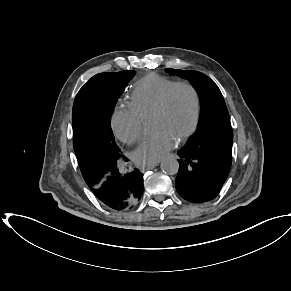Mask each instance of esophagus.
<instances>
[{
    "instance_id": "obj_1",
    "label": "esophagus",
    "mask_w": 291,
    "mask_h": 291,
    "mask_svg": "<svg viewBox=\"0 0 291 291\" xmlns=\"http://www.w3.org/2000/svg\"><path fill=\"white\" fill-rule=\"evenodd\" d=\"M158 164H159V162H156V163H150V164H145V165L143 166V169H144V170H151V169H153L154 167H156Z\"/></svg>"
}]
</instances>
